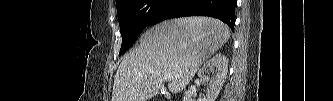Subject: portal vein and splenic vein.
<instances>
[{
  "mask_svg": "<svg viewBox=\"0 0 333 101\" xmlns=\"http://www.w3.org/2000/svg\"><path fill=\"white\" fill-rule=\"evenodd\" d=\"M171 78H172V76L171 75H166V76H164V80L165 81H169V80H171Z\"/></svg>",
  "mask_w": 333,
  "mask_h": 101,
  "instance_id": "obj_1",
  "label": "portal vein and splenic vein"
}]
</instances>
